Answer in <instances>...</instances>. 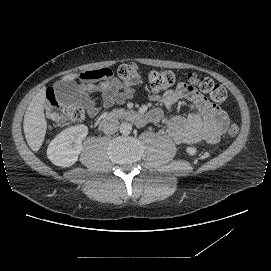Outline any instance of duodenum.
Here are the masks:
<instances>
[{"label": "duodenum", "mask_w": 271, "mask_h": 271, "mask_svg": "<svg viewBox=\"0 0 271 271\" xmlns=\"http://www.w3.org/2000/svg\"><path fill=\"white\" fill-rule=\"evenodd\" d=\"M119 119H126L135 124L142 125L145 118L136 111L130 109H116L105 114L100 122V127L105 133L111 132Z\"/></svg>", "instance_id": "duodenum-1"}]
</instances>
